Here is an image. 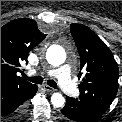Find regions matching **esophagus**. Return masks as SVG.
<instances>
[{"instance_id":"obj_1","label":"esophagus","mask_w":122,"mask_h":122,"mask_svg":"<svg viewBox=\"0 0 122 122\" xmlns=\"http://www.w3.org/2000/svg\"><path fill=\"white\" fill-rule=\"evenodd\" d=\"M43 87H44V89H45L46 91H48V92H50V93H53V92L56 91L54 88H52V87H50V86H48V85H44Z\"/></svg>"}]
</instances>
